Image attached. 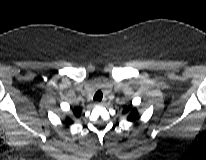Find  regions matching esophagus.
<instances>
[{"label":"esophagus","mask_w":206,"mask_h":160,"mask_svg":"<svg viewBox=\"0 0 206 160\" xmlns=\"http://www.w3.org/2000/svg\"><path fill=\"white\" fill-rule=\"evenodd\" d=\"M96 104L97 105H102V104H104V101H97Z\"/></svg>","instance_id":"1"}]
</instances>
